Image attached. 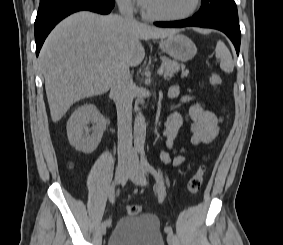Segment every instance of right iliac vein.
Returning a JSON list of instances; mask_svg holds the SVG:
<instances>
[{
  "mask_svg": "<svg viewBox=\"0 0 283 245\" xmlns=\"http://www.w3.org/2000/svg\"><path fill=\"white\" fill-rule=\"evenodd\" d=\"M130 163V160L129 158H121L119 161H118V165H117V168H116V172H115V182L117 184H119L125 174H126V170H127V167ZM109 226V224H107L105 221L102 223L101 225V233L102 235H105L106 234V230H107V227Z\"/></svg>",
  "mask_w": 283,
  "mask_h": 245,
  "instance_id": "1",
  "label": "right iliac vein"
}]
</instances>
